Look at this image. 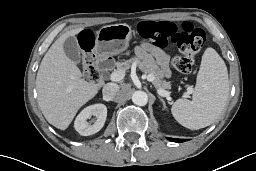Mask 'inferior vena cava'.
<instances>
[{
  "mask_svg": "<svg viewBox=\"0 0 256 171\" xmlns=\"http://www.w3.org/2000/svg\"><path fill=\"white\" fill-rule=\"evenodd\" d=\"M119 91V86L115 83H107L102 90L105 100H113Z\"/></svg>",
  "mask_w": 256,
  "mask_h": 171,
  "instance_id": "obj_1",
  "label": "inferior vena cava"
}]
</instances>
